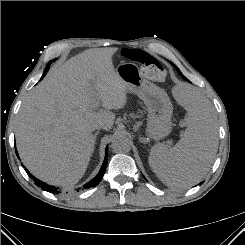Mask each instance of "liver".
Segmentation results:
<instances>
[{"mask_svg":"<svg viewBox=\"0 0 245 245\" xmlns=\"http://www.w3.org/2000/svg\"><path fill=\"white\" fill-rule=\"evenodd\" d=\"M118 48L89 49L52 68L23 101L16 122L19 155L47 183L73 186L94 151L96 124L113 127L110 110L127 104V88L112 56ZM101 102L106 110L97 111Z\"/></svg>","mask_w":245,"mask_h":245,"instance_id":"1","label":"liver"}]
</instances>
